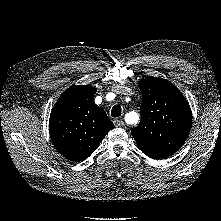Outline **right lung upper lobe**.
Listing matches in <instances>:
<instances>
[{
    "label": "right lung upper lobe",
    "mask_w": 221,
    "mask_h": 221,
    "mask_svg": "<svg viewBox=\"0 0 221 221\" xmlns=\"http://www.w3.org/2000/svg\"><path fill=\"white\" fill-rule=\"evenodd\" d=\"M96 88L73 86L59 97L49 119V133L57 151L73 161H83L114 128L94 102Z\"/></svg>",
    "instance_id": "right-lung-upper-lobe-1"
}]
</instances>
